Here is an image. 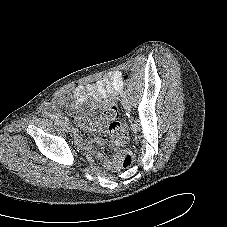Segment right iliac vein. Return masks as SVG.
I'll return each instance as SVG.
<instances>
[{"label": "right iliac vein", "instance_id": "right-iliac-vein-1", "mask_svg": "<svg viewBox=\"0 0 227 227\" xmlns=\"http://www.w3.org/2000/svg\"><path fill=\"white\" fill-rule=\"evenodd\" d=\"M59 123L66 131L70 132V126L67 121L60 119Z\"/></svg>", "mask_w": 227, "mask_h": 227}]
</instances>
